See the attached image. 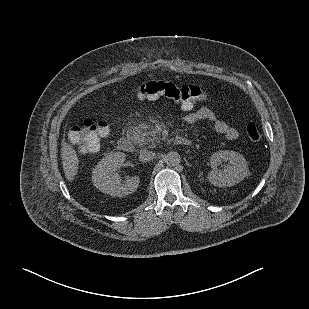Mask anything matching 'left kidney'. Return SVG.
Instances as JSON below:
<instances>
[{
	"mask_svg": "<svg viewBox=\"0 0 309 309\" xmlns=\"http://www.w3.org/2000/svg\"><path fill=\"white\" fill-rule=\"evenodd\" d=\"M227 164L223 169H218V165ZM210 163L212 170L208 173V180L218 187H230L241 182L249 173L248 164L242 154L223 150L211 156Z\"/></svg>",
	"mask_w": 309,
	"mask_h": 309,
	"instance_id": "1",
	"label": "left kidney"
}]
</instances>
